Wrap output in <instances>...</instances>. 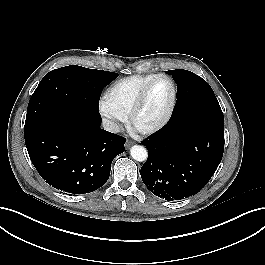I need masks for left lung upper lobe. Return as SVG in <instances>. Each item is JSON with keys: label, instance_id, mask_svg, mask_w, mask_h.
I'll use <instances>...</instances> for the list:
<instances>
[{"label": "left lung upper lobe", "instance_id": "left-lung-upper-lobe-1", "mask_svg": "<svg viewBox=\"0 0 265 265\" xmlns=\"http://www.w3.org/2000/svg\"><path fill=\"white\" fill-rule=\"evenodd\" d=\"M177 83V102L169 124L185 121L207 122L224 128V117L210 85L188 70L166 71Z\"/></svg>", "mask_w": 265, "mask_h": 265}]
</instances>
